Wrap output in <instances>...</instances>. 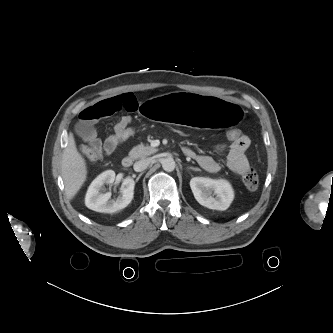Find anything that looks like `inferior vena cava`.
<instances>
[{"label": "inferior vena cava", "instance_id": "1", "mask_svg": "<svg viewBox=\"0 0 333 333\" xmlns=\"http://www.w3.org/2000/svg\"><path fill=\"white\" fill-rule=\"evenodd\" d=\"M150 163H151L150 158L142 159V160L135 162L133 168L136 172H141V171L145 170L149 166Z\"/></svg>", "mask_w": 333, "mask_h": 333}]
</instances>
